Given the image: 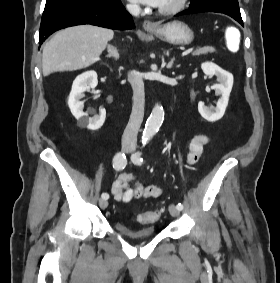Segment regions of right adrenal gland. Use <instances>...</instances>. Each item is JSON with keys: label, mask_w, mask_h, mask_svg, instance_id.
Masks as SVG:
<instances>
[{"label": "right adrenal gland", "mask_w": 280, "mask_h": 283, "mask_svg": "<svg viewBox=\"0 0 280 283\" xmlns=\"http://www.w3.org/2000/svg\"><path fill=\"white\" fill-rule=\"evenodd\" d=\"M107 51H108V55L106 56L107 58H114L115 60L119 59L120 57L119 51L115 46L107 45Z\"/></svg>", "instance_id": "1"}]
</instances>
